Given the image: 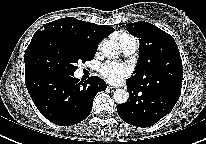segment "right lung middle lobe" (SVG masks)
I'll list each match as a JSON object with an SVG mask.
<instances>
[{"instance_id": "dd1d6c3e", "label": "right lung middle lobe", "mask_w": 206, "mask_h": 144, "mask_svg": "<svg viewBox=\"0 0 206 144\" xmlns=\"http://www.w3.org/2000/svg\"><path fill=\"white\" fill-rule=\"evenodd\" d=\"M96 50L53 38L41 37L32 41L25 52V72L49 71L73 74L78 62L92 60Z\"/></svg>"}]
</instances>
